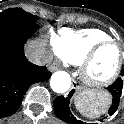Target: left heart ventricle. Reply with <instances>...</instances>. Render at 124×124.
Listing matches in <instances>:
<instances>
[{"instance_id":"left-heart-ventricle-1","label":"left heart ventricle","mask_w":124,"mask_h":124,"mask_svg":"<svg viewBox=\"0 0 124 124\" xmlns=\"http://www.w3.org/2000/svg\"><path fill=\"white\" fill-rule=\"evenodd\" d=\"M119 61V51L115 46H107L99 51L91 62L88 74L90 78L100 81L110 77Z\"/></svg>"}]
</instances>
